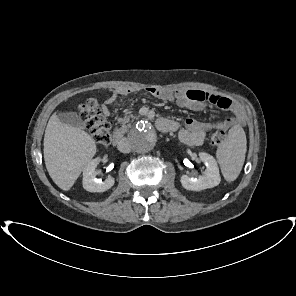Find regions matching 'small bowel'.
Here are the masks:
<instances>
[{
  "mask_svg": "<svg viewBox=\"0 0 296 296\" xmlns=\"http://www.w3.org/2000/svg\"><path fill=\"white\" fill-rule=\"evenodd\" d=\"M151 94L162 100L174 101L178 106L192 111H202L207 105L216 106L222 110L231 111L232 115L215 122H202L194 118H187L184 127L179 129L180 140L191 146H199L203 143L206 133L215 128L228 129L234 125H241L245 121V115L235 101L198 89H148ZM132 92L129 88H121L112 93L103 104V112L109 114V105L114 103L120 96H126ZM174 122V121H173ZM176 129L178 125L176 122ZM173 130V131H174Z\"/></svg>",
  "mask_w": 296,
  "mask_h": 296,
  "instance_id": "1",
  "label": "small bowel"
}]
</instances>
